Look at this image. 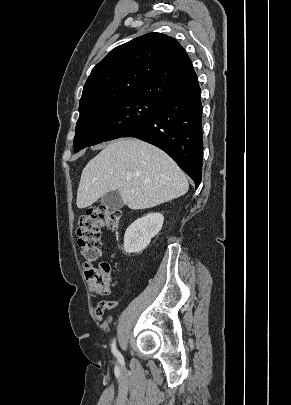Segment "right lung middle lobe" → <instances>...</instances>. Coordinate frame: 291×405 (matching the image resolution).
Segmentation results:
<instances>
[{"mask_svg": "<svg viewBox=\"0 0 291 405\" xmlns=\"http://www.w3.org/2000/svg\"><path fill=\"white\" fill-rule=\"evenodd\" d=\"M161 101L146 98H124L79 109L74 152L87 146L121 138L147 121Z\"/></svg>", "mask_w": 291, "mask_h": 405, "instance_id": "obj_1", "label": "right lung middle lobe"}]
</instances>
